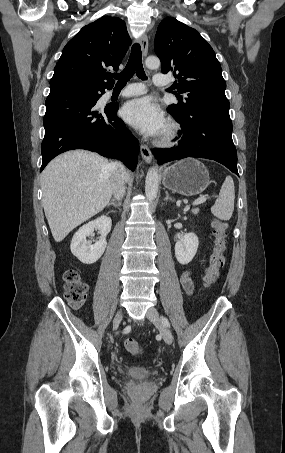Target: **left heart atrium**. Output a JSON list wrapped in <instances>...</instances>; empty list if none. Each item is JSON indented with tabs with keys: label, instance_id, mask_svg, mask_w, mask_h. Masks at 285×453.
<instances>
[{
	"label": "left heart atrium",
	"instance_id": "obj_1",
	"mask_svg": "<svg viewBox=\"0 0 285 453\" xmlns=\"http://www.w3.org/2000/svg\"><path fill=\"white\" fill-rule=\"evenodd\" d=\"M126 122L149 136L161 134L165 128V117L161 109L148 97L127 102L122 108Z\"/></svg>",
	"mask_w": 285,
	"mask_h": 453
}]
</instances>
